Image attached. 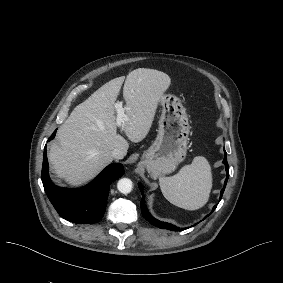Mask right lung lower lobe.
I'll list each match as a JSON object with an SVG mask.
<instances>
[{
	"mask_svg": "<svg viewBox=\"0 0 283 283\" xmlns=\"http://www.w3.org/2000/svg\"><path fill=\"white\" fill-rule=\"evenodd\" d=\"M55 134L56 130L48 141L52 140ZM123 173V166L113 163L83 188H61L54 185L49 178L46 146L44 148L41 178L45 192L59 215L70 222L91 224L101 220L107 205L109 185Z\"/></svg>",
	"mask_w": 283,
	"mask_h": 283,
	"instance_id": "1",
	"label": "right lung lower lobe"
}]
</instances>
